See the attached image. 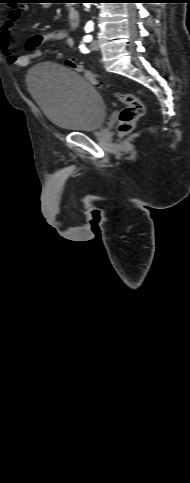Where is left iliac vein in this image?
Instances as JSON below:
<instances>
[{"label":"left iliac vein","mask_w":190,"mask_h":483,"mask_svg":"<svg viewBox=\"0 0 190 483\" xmlns=\"http://www.w3.org/2000/svg\"><path fill=\"white\" fill-rule=\"evenodd\" d=\"M90 48H91L92 50H95V51L99 50V44H98V41H97V40H93V41L91 42V44H90Z\"/></svg>","instance_id":"1"}]
</instances>
